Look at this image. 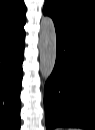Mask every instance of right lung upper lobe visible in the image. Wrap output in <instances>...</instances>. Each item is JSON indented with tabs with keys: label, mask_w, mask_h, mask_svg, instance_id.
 <instances>
[{
	"label": "right lung upper lobe",
	"mask_w": 95,
	"mask_h": 130,
	"mask_svg": "<svg viewBox=\"0 0 95 130\" xmlns=\"http://www.w3.org/2000/svg\"><path fill=\"white\" fill-rule=\"evenodd\" d=\"M25 23L24 0H0V40L23 31Z\"/></svg>",
	"instance_id": "right-lung-upper-lobe-1"
}]
</instances>
